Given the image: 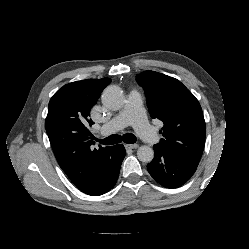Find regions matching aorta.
Segmentation results:
<instances>
[{"label":"aorta","instance_id":"762f6f07","mask_svg":"<svg viewBox=\"0 0 249 249\" xmlns=\"http://www.w3.org/2000/svg\"><path fill=\"white\" fill-rule=\"evenodd\" d=\"M124 99L123 91L115 85L106 87L102 93V103L110 110H119L124 104ZM137 157L141 162L149 163L153 160L154 151L147 145L140 146Z\"/></svg>","mask_w":249,"mask_h":249}]
</instances>
